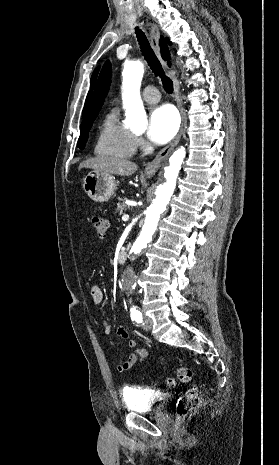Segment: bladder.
<instances>
[{
	"label": "bladder",
	"instance_id": "1",
	"mask_svg": "<svg viewBox=\"0 0 279 465\" xmlns=\"http://www.w3.org/2000/svg\"><path fill=\"white\" fill-rule=\"evenodd\" d=\"M126 409L135 413H158L164 410L169 400L167 394L143 387L127 386L122 390Z\"/></svg>",
	"mask_w": 279,
	"mask_h": 465
}]
</instances>
